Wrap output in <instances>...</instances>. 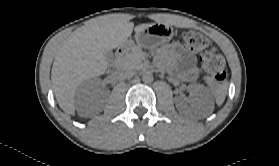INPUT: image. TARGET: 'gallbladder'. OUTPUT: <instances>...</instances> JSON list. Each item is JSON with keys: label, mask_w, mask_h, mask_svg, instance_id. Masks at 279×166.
Listing matches in <instances>:
<instances>
[{"label": "gallbladder", "mask_w": 279, "mask_h": 166, "mask_svg": "<svg viewBox=\"0 0 279 166\" xmlns=\"http://www.w3.org/2000/svg\"><path fill=\"white\" fill-rule=\"evenodd\" d=\"M104 57H105V59H106L108 62H112V61H113V58H114V55H113L112 50L106 51V52L104 53Z\"/></svg>", "instance_id": "gallbladder-1"}]
</instances>
